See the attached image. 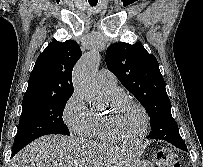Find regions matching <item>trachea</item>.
Masks as SVG:
<instances>
[{
    "instance_id": "trachea-1",
    "label": "trachea",
    "mask_w": 203,
    "mask_h": 167,
    "mask_svg": "<svg viewBox=\"0 0 203 167\" xmlns=\"http://www.w3.org/2000/svg\"><path fill=\"white\" fill-rule=\"evenodd\" d=\"M90 5H91V6H95V5H96V3H91V2H90Z\"/></svg>"
}]
</instances>
